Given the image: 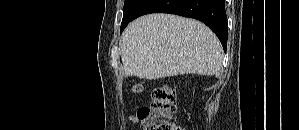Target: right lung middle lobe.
<instances>
[{"label":"right lung middle lobe","mask_w":299,"mask_h":130,"mask_svg":"<svg viewBox=\"0 0 299 130\" xmlns=\"http://www.w3.org/2000/svg\"><path fill=\"white\" fill-rule=\"evenodd\" d=\"M147 0H125L123 22L121 24L120 32L124 30L127 24L133 20L135 13Z\"/></svg>","instance_id":"1"}]
</instances>
